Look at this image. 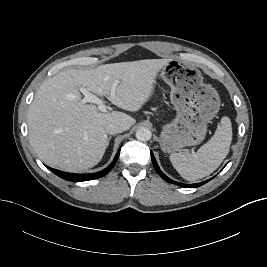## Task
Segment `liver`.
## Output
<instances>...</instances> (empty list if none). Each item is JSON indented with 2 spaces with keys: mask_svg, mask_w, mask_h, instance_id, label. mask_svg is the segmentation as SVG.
Returning a JSON list of instances; mask_svg holds the SVG:
<instances>
[{
  "mask_svg": "<svg viewBox=\"0 0 267 267\" xmlns=\"http://www.w3.org/2000/svg\"><path fill=\"white\" fill-rule=\"evenodd\" d=\"M168 62L145 59L104 64L89 70H66L44 81L27 116L29 140L38 157L46 165L67 172L98 164L107 147L106 125L119 122L127 130L136 120L120 111L101 113L96 106L81 103L80 88L107 97L121 109L138 111L151 96L158 72Z\"/></svg>",
  "mask_w": 267,
  "mask_h": 267,
  "instance_id": "obj_1",
  "label": "liver"
}]
</instances>
